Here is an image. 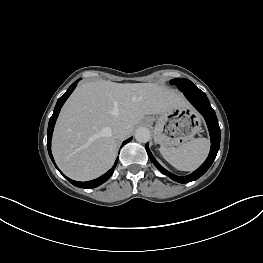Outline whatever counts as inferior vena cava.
Here are the masks:
<instances>
[{"instance_id":"1","label":"inferior vena cava","mask_w":263,"mask_h":263,"mask_svg":"<svg viewBox=\"0 0 263 263\" xmlns=\"http://www.w3.org/2000/svg\"><path fill=\"white\" fill-rule=\"evenodd\" d=\"M112 133L116 139H122V138L126 137V135H127L126 126L123 123H117L112 128Z\"/></svg>"}]
</instances>
